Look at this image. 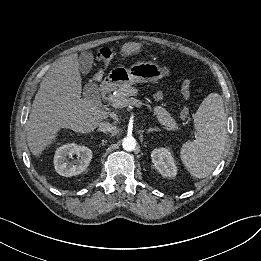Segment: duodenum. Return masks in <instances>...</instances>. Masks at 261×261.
<instances>
[{"label": "duodenum", "mask_w": 261, "mask_h": 261, "mask_svg": "<svg viewBox=\"0 0 261 261\" xmlns=\"http://www.w3.org/2000/svg\"><path fill=\"white\" fill-rule=\"evenodd\" d=\"M112 90V84L104 79L100 82V92L102 96H107Z\"/></svg>", "instance_id": "obj_1"}]
</instances>
